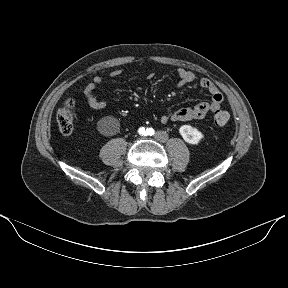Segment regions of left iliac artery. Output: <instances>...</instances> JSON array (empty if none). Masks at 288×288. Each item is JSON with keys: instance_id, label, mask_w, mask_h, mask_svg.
Here are the masks:
<instances>
[{"instance_id": "left-iliac-artery-1", "label": "left iliac artery", "mask_w": 288, "mask_h": 288, "mask_svg": "<svg viewBox=\"0 0 288 288\" xmlns=\"http://www.w3.org/2000/svg\"><path fill=\"white\" fill-rule=\"evenodd\" d=\"M154 133L155 131L152 128L148 129V135L152 136Z\"/></svg>"}]
</instances>
